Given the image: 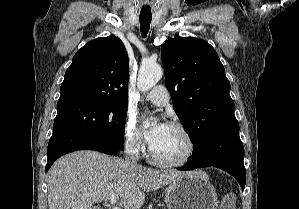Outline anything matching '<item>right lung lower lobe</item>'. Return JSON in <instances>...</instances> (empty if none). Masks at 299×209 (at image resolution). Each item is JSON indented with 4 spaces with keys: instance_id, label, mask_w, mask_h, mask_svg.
Segmentation results:
<instances>
[{
    "instance_id": "obj_1",
    "label": "right lung lower lobe",
    "mask_w": 299,
    "mask_h": 209,
    "mask_svg": "<svg viewBox=\"0 0 299 209\" xmlns=\"http://www.w3.org/2000/svg\"><path fill=\"white\" fill-rule=\"evenodd\" d=\"M124 139L105 134H93L67 125L53 127L47 148V172L60 156L76 150H95L109 155L117 153Z\"/></svg>"
}]
</instances>
